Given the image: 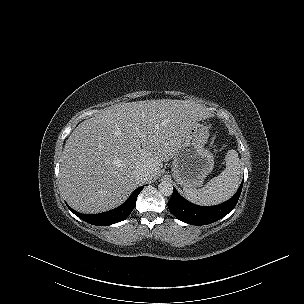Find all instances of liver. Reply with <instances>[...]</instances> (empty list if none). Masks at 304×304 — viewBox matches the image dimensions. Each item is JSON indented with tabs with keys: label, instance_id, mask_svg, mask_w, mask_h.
<instances>
[{
	"label": "liver",
	"instance_id": "1",
	"mask_svg": "<svg viewBox=\"0 0 304 304\" xmlns=\"http://www.w3.org/2000/svg\"><path fill=\"white\" fill-rule=\"evenodd\" d=\"M208 118L188 100L119 103L81 122L60 159L63 196L76 211L96 214L122 204L142 183L159 174L186 141L191 127ZM148 172L145 181L138 170Z\"/></svg>",
	"mask_w": 304,
	"mask_h": 304
}]
</instances>
